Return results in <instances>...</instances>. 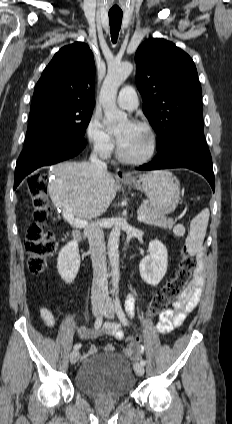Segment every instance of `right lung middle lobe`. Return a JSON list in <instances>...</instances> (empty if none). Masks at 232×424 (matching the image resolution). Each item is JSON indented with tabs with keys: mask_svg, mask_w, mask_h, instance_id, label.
I'll use <instances>...</instances> for the list:
<instances>
[{
	"mask_svg": "<svg viewBox=\"0 0 232 424\" xmlns=\"http://www.w3.org/2000/svg\"><path fill=\"white\" fill-rule=\"evenodd\" d=\"M92 112V107L67 104H46L31 108L25 141L36 135L83 138Z\"/></svg>",
	"mask_w": 232,
	"mask_h": 424,
	"instance_id": "1",
	"label": "right lung middle lobe"
}]
</instances>
